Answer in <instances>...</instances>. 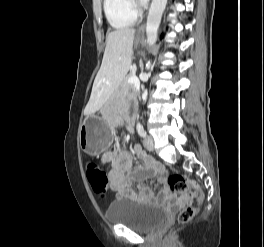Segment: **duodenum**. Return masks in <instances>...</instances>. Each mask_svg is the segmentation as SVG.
Returning a JSON list of instances; mask_svg holds the SVG:
<instances>
[{"label":"duodenum","instance_id":"410a0bca","mask_svg":"<svg viewBox=\"0 0 264 247\" xmlns=\"http://www.w3.org/2000/svg\"><path fill=\"white\" fill-rule=\"evenodd\" d=\"M127 119H128L129 122H132L133 121V115L132 114H129L127 116Z\"/></svg>","mask_w":264,"mask_h":247}]
</instances>
